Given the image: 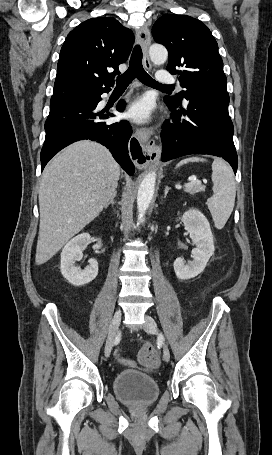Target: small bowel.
Segmentation results:
<instances>
[{"label":"small bowel","instance_id":"1","mask_svg":"<svg viewBox=\"0 0 272 455\" xmlns=\"http://www.w3.org/2000/svg\"><path fill=\"white\" fill-rule=\"evenodd\" d=\"M120 362L125 366H130V367L136 366L135 362L129 358H120Z\"/></svg>","mask_w":272,"mask_h":455}]
</instances>
